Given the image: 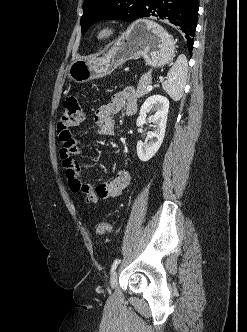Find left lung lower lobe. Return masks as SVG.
Returning a JSON list of instances; mask_svg holds the SVG:
<instances>
[{
    "label": "left lung lower lobe",
    "mask_w": 247,
    "mask_h": 332,
    "mask_svg": "<svg viewBox=\"0 0 247 332\" xmlns=\"http://www.w3.org/2000/svg\"><path fill=\"white\" fill-rule=\"evenodd\" d=\"M198 9V0H147L138 18L154 16L179 26L192 50Z\"/></svg>",
    "instance_id": "left-lung-lower-lobe-1"
}]
</instances>
